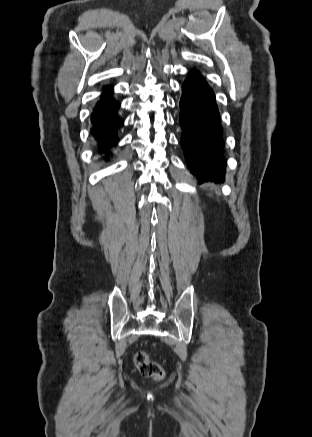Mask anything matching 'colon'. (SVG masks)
<instances>
[{
  "label": "colon",
  "instance_id": "colon-1",
  "mask_svg": "<svg viewBox=\"0 0 312 437\" xmlns=\"http://www.w3.org/2000/svg\"><path fill=\"white\" fill-rule=\"evenodd\" d=\"M134 364L141 375L146 378L160 380L164 377V371L161 366L157 362L149 359L147 354L143 351L136 353Z\"/></svg>",
  "mask_w": 312,
  "mask_h": 437
}]
</instances>
